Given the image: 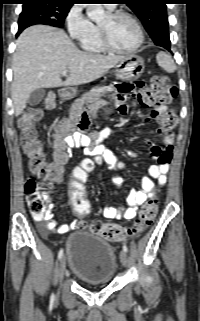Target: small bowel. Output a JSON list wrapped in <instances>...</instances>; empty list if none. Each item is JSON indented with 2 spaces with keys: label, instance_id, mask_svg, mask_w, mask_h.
I'll use <instances>...</instances> for the list:
<instances>
[{
  "label": "small bowel",
  "instance_id": "c3829d8e",
  "mask_svg": "<svg viewBox=\"0 0 200 321\" xmlns=\"http://www.w3.org/2000/svg\"><path fill=\"white\" fill-rule=\"evenodd\" d=\"M146 83L138 82H121L117 80L115 85L111 86L108 91L115 93V99L110 97V102L114 104H121L123 102H129L132 96H140L142 94L141 90H146ZM86 100H92L95 102L103 101V95H97L94 97H88ZM84 100L77 103L75 110L78 111ZM168 113L164 106L155 105L154 109L144 117L145 121L157 120L162 124V128L158 130L159 134H164V141L166 144L165 149H161L155 143L149 139H145L146 144L150 147L151 157L157 161L148 169V175L143 176L140 183V188L131 189L127 195V206H105L103 209V216L106 219L111 220H132L136 217L138 208L142 205L148 198L155 195V185L153 179L157 181L159 185H164L167 182V173L169 170V163L172 158L173 150V135L167 134L164 128V121ZM111 134V129L106 127L99 131H89V132H78L74 131L71 133L62 134L60 139H58L54 144L53 156L57 157L62 155L61 165L65 164L68 158V148H81L84 153L89 156H94L97 158H110V154L105 150L102 143ZM132 154V153H130ZM78 169L75 170L77 172ZM62 176L56 180L55 183H60ZM112 181L116 185L121 184V179L117 176L112 177ZM71 191V190H70ZM46 204L48 210L43 217L36 218L38 221H42L43 224L40 226V230L44 234L49 232H55L58 234H65L71 230L77 229L80 224L77 221H73L69 224H63L60 226L56 225L53 220V215L51 209L55 207L49 194L45 195Z\"/></svg>",
  "mask_w": 200,
  "mask_h": 321
}]
</instances>
